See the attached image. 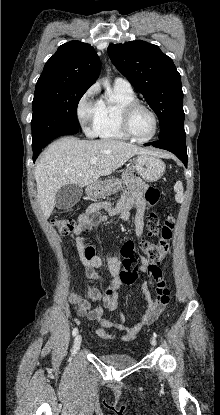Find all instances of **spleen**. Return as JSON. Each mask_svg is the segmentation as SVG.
Masks as SVG:
<instances>
[{
  "label": "spleen",
  "mask_w": 220,
  "mask_h": 415,
  "mask_svg": "<svg viewBox=\"0 0 220 415\" xmlns=\"http://www.w3.org/2000/svg\"><path fill=\"white\" fill-rule=\"evenodd\" d=\"M174 190L176 192L175 199L177 202L181 203L184 200V194H183V185L181 181H177L174 185Z\"/></svg>",
  "instance_id": "3e777b00"
}]
</instances>
